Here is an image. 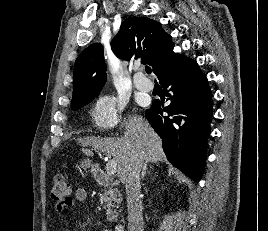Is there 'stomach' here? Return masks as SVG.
Masks as SVG:
<instances>
[{
  "instance_id": "stomach-1",
  "label": "stomach",
  "mask_w": 268,
  "mask_h": 231,
  "mask_svg": "<svg viewBox=\"0 0 268 231\" xmlns=\"http://www.w3.org/2000/svg\"><path fill=\"white\" fill-rule=\"evenodd\" d=\"M81 166H82L83 168H88V167L91 166V161H90L89 159L84 160V161H82Z\"/></svg>"
}]
</instances>
